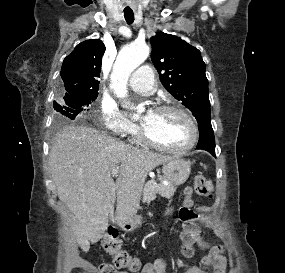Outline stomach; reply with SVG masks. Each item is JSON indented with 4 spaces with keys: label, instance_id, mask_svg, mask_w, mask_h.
Masks as SVG:
<instances>
[{
    "label": "stomach",
    "instance_id": "obj_1",
    "mask_svg": "<svg viewBox=\"0 0 285 273\" xmlns=\"http://www.w3.org/2000/svg\"><path fill=\"white\" fill-rule=\"evenodd\" d=\"M162 172L172 185L179 186L188 179L191 172V166L189 162L175 157L163 163ZM130 222L133 226H136L139 223V219L136 218L130 220Z\"/></svg>",
    "mask_w": 285,
    "mask_h": 273
}]
</instances>
